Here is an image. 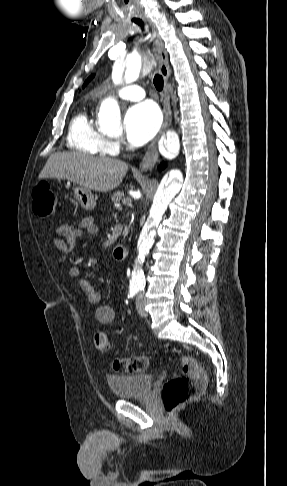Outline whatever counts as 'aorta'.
I'll list each match as a JSON object with an SVG mask.
<instances>
[{"mask_svg":"<svg viewBox=\"0 0 287 486\" xmlns=\"http://www.w3.org/2000/svg\"><path fill=\"white\" fill-rule=\"evenodd\" d=\"M114 70L119 77L123 76L124 82L131 83L135 81L141 71V64L129 61L124 71V66L116 62ZM98 121L101 127L106 129L120 128V109L119 106L111 101L104 102L98 114ZM164 145L170 154H177L180 149L179 136L174 130H169L166 135ZM180 182L176 179H171L162 184L159 188L156 199L153 202L149 216L144 224L137 244L138 258L142 259L149 253L150 248L154 243L156 236V229L162 220V216L167 208L169 201L180 190ZM143 272L136 269L132 273L131 283L136 286L144 284Z\"/></svg>","mask_w":287,"mask_h":486,"instance_id":"obj_1","label":"aorta"}]
</instances>
